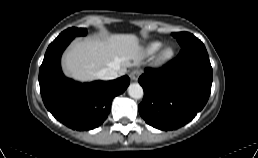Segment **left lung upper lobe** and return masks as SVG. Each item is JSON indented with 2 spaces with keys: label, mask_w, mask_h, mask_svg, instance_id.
Instances as JSON below:
<instances>
[{
  "label": "left lung upper lobe",
  "mask_w": 258,
  "mask_h": 158,
  "mask_svg": "<svg viewBox=\"0 0 258 158\" xmlns=\"http://www.w3.org/2000/svg\"><path fill=\"white\" fill-rule=\"evenodd\" d=\"M172 36L176 38L181 47L189 42L197 40V38L193 34L188 32L172 33Z\"/></svg>",
  "instance_id": "5c2ea615"
}]
</instances>
